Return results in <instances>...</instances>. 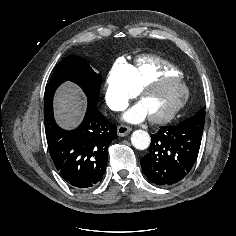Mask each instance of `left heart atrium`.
<instances>
[{
	"mask_svg": "<svg viewBox=\"0 0 236 236\" xmlns=\"http://www.w3.org/2000/svg\"><path fill=\"white\" fill-rule=\"evenodd\" d=\"M148 116V112L146 108L143 106L142 103H137L131 108H129L125 114H124V119L132 122V123H137L142 120H144Z\"/></svg>",
	"mask_w": 236,
	"mask_h": 236,
	"instance_id": "1",
	"label": "left heart atrium"
}]
</instances>
